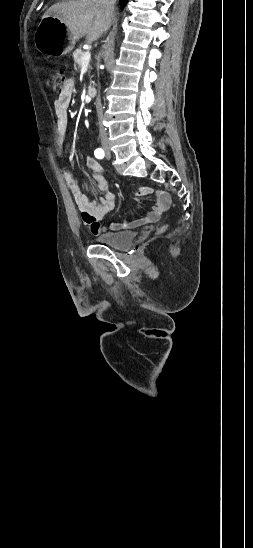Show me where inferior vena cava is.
<instances>
[{
	"mask_svg": "<svg viewBox=\"0 0 253 548\" xmlns=\"http://www.w3.org/2000/svg\"><path fill=\"white\" fill-rule=\"evenodd\" d=\"M100 3H101V5L104 9L106 19L108 20V22H110L111 17L114 13V10H115L116 0H100ZM108 28H109V26L104 30V32H106L108 30ZM97 110H98L97 125H98V130H99V136H100L102 141L107 140V132H106L105 125H104V122H103L104 118H105V115L103 114L102 105H101L100 101L97 104Z\"/></svg>",
	"mask_w": 253,
	"mask_h": 548,
	"instance_id": "obj_1",
	"label": "inferior vena cava"
}]
</instances>
